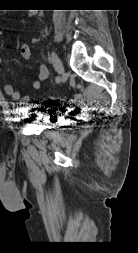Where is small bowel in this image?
Masks as SVG:
<instances>
[{
    "label": "small bowel",
    "mask_w": 138,
    "mask_h": 253,
    "mask_svg": "<svg viewBox=\"0 0 138 253\" xmlns=\"http://www.w3.org/2000/svg\"><path fill=\"white\" fill-rule=\"evenodd\" d=\"M20 53H21V57L25 61H29L31 59L32 55H31V50L29 46L23 45L21 47ZM1 63H2V58L0 56V75L2 73ZM48 76H49L48 68L44 65H40L37 71V79L32 82V89L34 91L39 90L41 87V82L46 80ZM4 92L8 96H10L14 101H20L25 104L30 100L29 94L22 96L21 93L18 90H16L11 83H7L4 85Z\"/></svg>",
    "instance_id": "1"
}]
</instances>
